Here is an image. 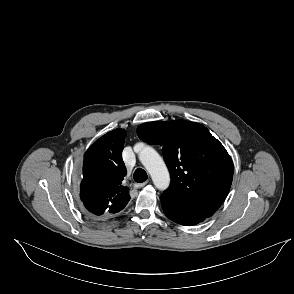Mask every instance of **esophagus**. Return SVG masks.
Listing matches in <instances>:
<instances>
[{
	"label": "esophagus",
	"instance_id": "1",
	"mask_svg": "<svg viewBox=\"0 0 294 294\" xmlns=\"http://www.w3.org/2000/svg\"><path fill=\"white\" fill-rule=\"evenodd\" d=\"M147 184V182H143V183H134L133 187L134 189H138V188H142Z\"/></svg>",
	"mask_w": 294,
	"mask_h": 294
}]
</instances>
